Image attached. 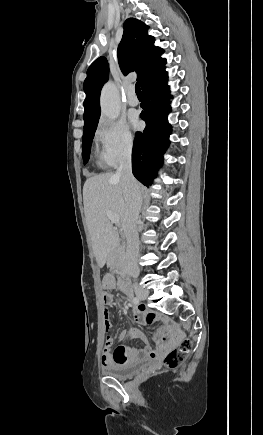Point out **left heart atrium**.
<instances>
[{"mask_svg": "<svg viewBox=\"0 0 263 435\" xmlns=\"http://www.w3.org/2000/svg\"><path fill=\"white\" fill-rule=\"evenodd\" d=\"M131 122H132V125H133V127L135 128V129H139L140 128V126H141V123H140V121L137 119V118H132L131 119Z\"/></svg>", "mask_w": 263, "mask_h": 435, "instance_id": "39dd6f15", "label": "left heart atrium"}]
</instances>
